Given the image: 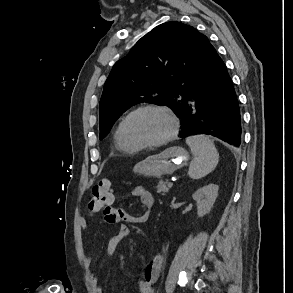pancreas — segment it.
I'll return each instance as SVG.
<instances>
[{"label":"pancreas","instance_id":"obj_1","mask_svg":"<svg viewBox=\"0 0 293 293\" xmlns=\"http://www.w3.org/2000/svg\"><path fill=\"white\" fill-rule=\"evenodd\" d=\"M168 181L167 180H165V181H163V180H160L159 182H158V185H157V192L159 193V194H161V195H165V193H167L168 192V190H169V186H168Z\"/></svg>","mask_w":293,"mask_h":293}]
</instances>
